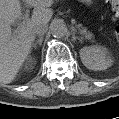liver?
<instances>
[{
	"label": "liver",
	"instance_id": "6515ba94",
	"mask_svg": "<svg viewBox=\"0 0 119 119\" xmlns=\"http://www.w3.org/2000/svg\"><path fill=\"white\" fill-rule=\"evenodd\" d=\"M54 0H25L27 6L34 7L32 17L17 33L12 34L11 24L19 18V0H0V82L11 83L28 58L35 39L33 28L47 24L52 18L50 8Z\"/></svg>",
	"mask_w": 119,
	"mask_h": 119
}]
</instances>
